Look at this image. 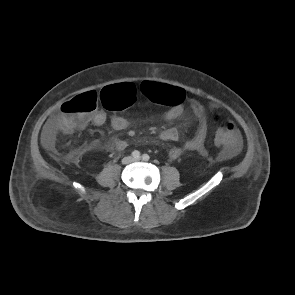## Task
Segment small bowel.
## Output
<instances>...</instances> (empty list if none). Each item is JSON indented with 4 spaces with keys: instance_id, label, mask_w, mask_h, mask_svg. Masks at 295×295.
<instances>
[{
    "instance_id": "obj_1",
    "label": "small bowel",
    "mask_w": 295,
    "mask_h": 295,
    "mask_svg": "<svg viewBox=\"0 0 295 295\" xmlns=\"http://www.w3.org/2000/svg\"><path fill=\"white\" fill-rule=\"evenodd\" d=\"M176 88L180 92V100L172 105V107L164 114L163 120L165 122H170L180 118L184 113V97L185 92L181 88ZM214 107H206L203 103L199 101L192 102V109L198 124L196 133L194 136L187 140L183 148L173 147L168 151V157L171 160L178 159L185 151L197 152L201 155H206L207 151L205 148V139L207 135L208 128V112ZM106 122V114L103 111H94L89 117L79 126V128H85L88 125L101 126ZM111 127L116 131H123L130 127V122L119 115L112 116ZM58 116L52 117L45 125L41 140L42 144L47 150H53L55 146V137L58 131ZM160 138L168 141H177L179 139V132L176 128H167L161 131ZM111 145L118 151H123L128 146L126 140L123 139H112ZM241 142L240 136L238 134L237 143L228 147V153L230 155L236 154L240 150Z\"/></svg>"
}]
</instances>
